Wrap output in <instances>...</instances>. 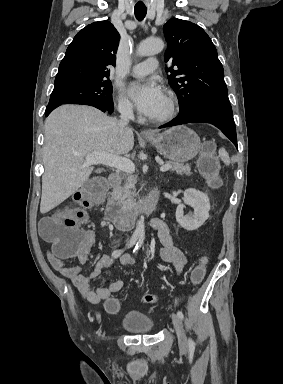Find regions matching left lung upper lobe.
Instances as JSON below:
<instances>
[{"instance_id":"5c2ea615","label":"left lung upper lobe","mask_w":283,"mask_h":384,"mask_svg":"<svg viewBox=\"0 0 283 384\" xmlns=\"http://www.w3.org/2000/svg\"><path fill=\"white\" fill-rule=\"evenodd\" d=\"M168 43L165 62L169 83L179 99L180 112L199 106L229 103L224 71L210 37L198 25L173 18L163 27Z\"/></svg>"}]
</instances>
